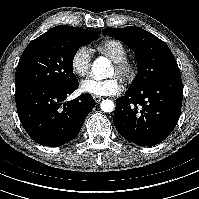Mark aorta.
<instances>
[{"label": "aorta", "mask_w": 199, "mask_h": 199, "mask_svg": "<svg viewBox=\"0 0 199 199\" xmlns=\"http://www.w3.org/2000/svg\"><path fill=\"white\" fill-rule=\"evenodd\" d=\"M91 69L96 79H103L106 77L107 71L110 69V62L104 57H99L93 62ZM100 107L104 112H112L115 108L114 102L110 99L103 100Z\"/></svg>", "instance_id": "aorta-1"}]
</instances>
